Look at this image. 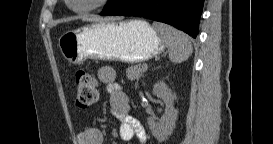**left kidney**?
Segmentation results:
<instances>
[{"instance_id":"1","label":"left kidney","mask_w":273,"mask_h":144,"mask_svg":"<svg viewBox=\"0 0 273 144\" xmlns=\"http://www.w3.org/2000/svg\"><path fill=\"white\" fill-rule=\"evenodd\" d=\"M153 94L164 101L166 108L163 117L159 121H157L155 117H149L148 125L152 135L157 140L164 141L172 134L178 118V111L174 107L176 95L172 93L171 89L163 81L155 83L153 86Z\"/></svg>"}]
</instances>
